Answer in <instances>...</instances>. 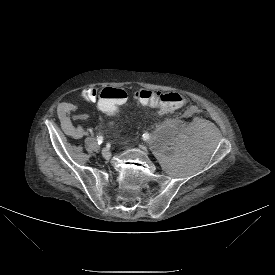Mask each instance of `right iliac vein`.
I'll use <instances>...</instances> for the list:
<instances>
[{
  "mask_svg": "<svg viewBox=\"0 0 275 275\" xmlns=\"http://www.w3.org/2000/svg\"><path fill=\"white\" fill-rule=\"evenodd\" d=\"M101 154L103 157L107 158L111 155L110 151L107 149V148H104L102 151H101Z\"/></svg>",
  "mask_w": 275,
  "mask_h": 275,
  "instance_id": "63e3f726",
  "label": "right iliac vein"
}]
</instances>
